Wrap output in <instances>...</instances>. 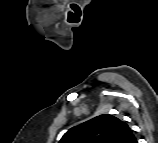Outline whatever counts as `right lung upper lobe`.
Wrapping results in <instances>:
<instances>
[{
    "instance_id": "obj_1",
    "label": "right lung upper lobe",
    "mask_w": 158,
    "mask_h": 143,
    "mask_svg": "<svg viewBox=\"0 0 158 143\" xmlns=\"http://www.w3.org/2000/svg\"><path fill=\"white\" fill-rule=\"evenodd\" d=\"M133 130L121 119L102 114L69 129L60 143H135Z\"/></svg>"
}]
</instances>
